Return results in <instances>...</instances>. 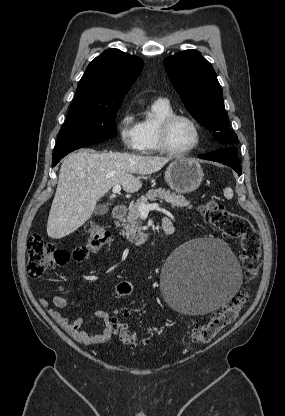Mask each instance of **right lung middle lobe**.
Wrapping results in <instances>:
<instances>
[{
	"label": "right lung middle lobe",
	"mask_w": 285,
	"mask_h": 416,
	"mask_svg": "<svg viewBox=\"0 0 285 416\" xmlns=\"http://www.w3.org/2000/svg\"><path fill=\"white\" fill-rule=\"evenodd\" d=\"M121 101L82 103L73 101L58 142L72 140H107L117 135L116 116Z\"/></svg>",
	"instance_id": "obj_1"
}]
</instances>
